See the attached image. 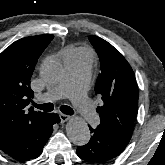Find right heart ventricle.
Instances as JSON below:
<instances>
[{"mask_svg":"<svg viewBox=\"0 0 165 165\" xmlns=\"http://www.w3.org/2000/svg\"><path fill=\"white\" fill-rule=\"evenodd\" d=\"M84 56L89 57V53L86 49H84L82 47L68 48L64 52V57H84Z\"/></svg>","mask_w":165,"mask_h":165,"instance_id":"1","label":"right heart ventricle"}]
</instances>
